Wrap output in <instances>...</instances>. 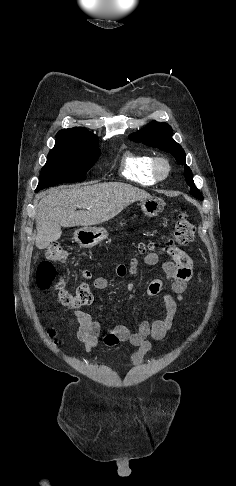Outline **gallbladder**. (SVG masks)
Returning a JSON list of instances; mask_svg holds the SVG:
<instances>
[{"instance_id":"gallbladder-1","label":"gallbladder","mask_w":236,"mask_h":486,"mask_svg":"<svg viewBox=\"0 0 236 486\" xmlns=\"http://www.w3.org/2000/svg\"><path fill=\"white\" fill-rule=\"evenodd\" d=\"M61 226L57 223H50L44 230L45 240L39 244L40 249L46 248L51 242L58 240L61 236Z\"/></svg>"}]
</instances>
